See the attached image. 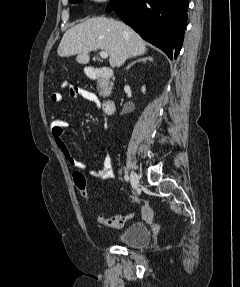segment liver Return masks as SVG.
Listing matches in <instances>:
<instances>
[{
	"instance_id": "liver-1",
	"label": "liver",
	"mask_w": 240,
	"mask_h": 287,
	"mask_svg": "<svg viewBox=\"0 0 240 287\" xmlns=\"http://www.w3.org/2000/svg\"><path fill=\"white\" fill-rule=\"evenodd\" d=\"M104 50L111 67H120L132 57L146 52L145 41L124 23L106 17H93L70 28L63 35L57 54L76 55V61L87 64L90 52Z\"/></svg>"
}]
</instances>
